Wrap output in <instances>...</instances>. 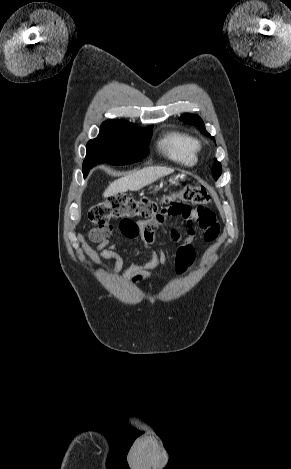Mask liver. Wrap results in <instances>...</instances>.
Listing matches in <instances>:
<instances>
[{
	"mask_svg": "<svg viewBox=\"0 0 291 469\" xmlns=\"http://www.w3.org/2000/svg\"><path fill=\"white\" fill-rule=\"evenodd\" d=\"M174 170L167 167H146L110 183L104 191V197H110L128 190L137 191L153 183L162 176L173 173Z\"/></svg>",
	"mask_w": 291,
	"mask_h": 469,
	"instance_id": "liver-1",
	"label": "liver"
}]
</instances>
